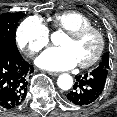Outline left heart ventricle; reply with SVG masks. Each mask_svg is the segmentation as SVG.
Returning <instances> with one entry per match:
<instances>
[{
  "label": "left heart ventricle",
  "instance_id": "1",
  "mask_svg": "<svg viewBox=\"0 0 117 117\" xmlns=\"http://www.w3.org/2000/svg\"><path fill=\"white\" fill-rule=\"evenodd\" d=\"M98 43L97 35L90 32L80 38H71L65 35L60 44L62 47L70 48L77 62L81 63L89 60L95 54Z\"/></svg>",
  "mask_w": 117,
  "mask_h": 117
}]
</instances>
